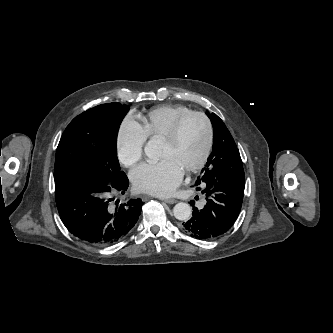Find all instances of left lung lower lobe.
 <instances>
[{"label":"left lung lower lobe","instance_id":"0a47b994","mask_svg":"<svg viewBox=\"0 0 333 333\" xmlns=\"http://www.w3.org/2000/svg\"><path fill=\"white\" fill-rule=\"evenodd\" d=\"M194 186L206 196L203 208L193 206V216L183 229L197 239H213L227 232L242 206L245 180L220 181L209 175L198 177Z\"/></svg>","mask_w":333,"mask_h":333}]
</instances>
